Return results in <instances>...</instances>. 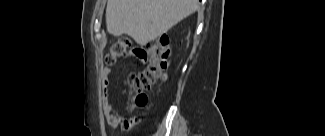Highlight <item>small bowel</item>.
Segmentation results:
<instances>
[{"label":"small bowel","mask_w":325,"mask_h":136,"mask_svg":"<svg viewBox=\"0 0 325 136\" xmlns=\"http://www.w3.org/2000/svg\"><path fill=\"white\" fill-rule=\"evenodd\" d=\"M130 50L132 51V54L135 55V59L137 61V68H146V61H147V54L148 49L146 48L145 44H131ZM111 73V69L106 67L103 69L102 72V85H103V95H102V106L105 118L110 126L113 128L122 127L125 129L131 128L135 122L137 121L136 118H125L120 116L114 107L112 106L110 102V95H109V76ZM136 70H132V73H128L126 75V78L124 79L126 82L128 80H135L136 78ZM127 86H130V83H127ZM119 92H124V87H119ZM147 96H146V103H147ZM145 104H139L136 102L135 106L137 107H143Z\"/></svg>","instance_id":"small-bowel-1"}]
</instances>
